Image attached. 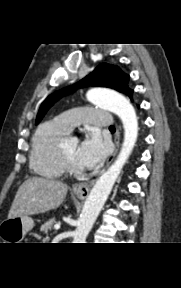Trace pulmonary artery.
Segmentation results:
<instances>
[{"label": "pulmonary artery", "instance_id": "obj_1", "mask_svg": "<svg viewBox=\"0 0 181 288\" xmlns=\"http://www.w3.org/2000/svg\"><path fill=\"white\" fill-rule=\"evenodd\" d=\"M55 120L68 132L80 124L104 128H109L111 125L108 111L91 107H79L65 111L58 115Z\"/></svg>", "mask_w": 181, "mask_h": 288}]
</instances>
